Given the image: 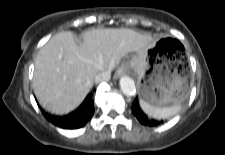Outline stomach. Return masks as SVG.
<instances>
[{"instance_id":"1","label":"stomach","mask_w":225,"mask_h":155,"mask_svg":"<svg viewBox=\"0 0 225 155\" xmlns=\"http://www.w3.org/2000/svg\"><path fill=\"white\" fill-rule=\"evenodd\" d=\"M127 65L138 76L141 100L156 107L180 104L189 92V76L180 63L159 56L157 43L145 56L135 53Z\"/></svg>"}]
</instances>
